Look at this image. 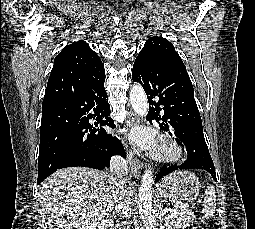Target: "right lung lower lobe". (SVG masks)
<instances>
[{"instance_id":"1","label":"right lung lower lobe","mask_w":255,"mask_h":229,"mask_svg":"<svg viewBox=\"0 0 255 229\" xmlns=\"http://www.w3.org/2000/svg\"><path fill=\"white\" fill-rule=\"evenodd\" d=\"M104 82L103 67L91 74L71 99L42 108L41 127L47 121L65 116L72 117L75 125L57 163L51 167L39 164L38 185L57 169L85 166L102 170L109 166L114 154L125 157L118 139L104 128L115 127L109 117L110 105ZM91 119L95 122H90Z\"/></svg>"}]
</instances>
